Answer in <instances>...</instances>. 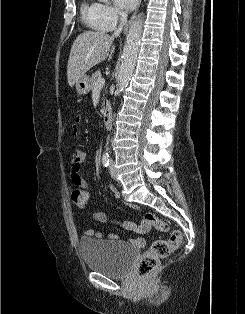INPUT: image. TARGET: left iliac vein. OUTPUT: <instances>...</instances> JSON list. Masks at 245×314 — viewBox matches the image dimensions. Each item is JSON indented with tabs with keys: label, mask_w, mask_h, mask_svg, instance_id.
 <instances>
[{
	"label": "left iliac vein",
	"mask_w": 245,
	"mask_h": 314,
	"mask_svg": "<svg viewBox=\"0 0 245 314\" xmlns=\"http://www.w3.org/2000/svg\"><path fill=\"white\" fill-rule=\"evenodd\" d=\"M110 175L113 179H116L117 178V174H116V170H115V166H114V163L111 162L110 164Z\"/></svg>",
	"instance_id": "4c4485c4"
}]
</instances>
